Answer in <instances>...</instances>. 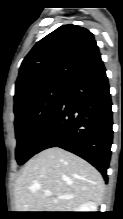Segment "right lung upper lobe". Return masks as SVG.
<instances>
[{"label": "right lung upper lobe", "mask_w": 123, "mask_h": 219, "mask_svg": "<svg viewBox=\"0 0 123 219\" xmlns=\"http://www.w3.org/2000/svg\"><path fill=\"white\" fill-rule=\"evenodd\" d=\"M101 56L93 34L78 25H63L41 39L23 60L15 102L39 89L66 85Z\"/></svg>", "instance_id": "right-lung-upper-lobe-1"}]
</instances>
